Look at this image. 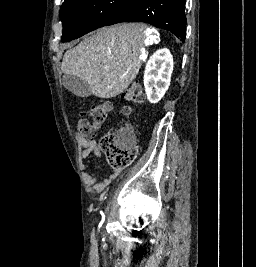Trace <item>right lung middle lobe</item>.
Masks as SVG:
<instances>
[{
  "label": "right lung middle lobe",
  "instance_id": "1",
  "mask_svg": "<svg viewBox=\"0 0 256 267\" xmlns=\"http://www.w3.org/2000/svg\"><path fill=\"white\" fill-rule=\"evenodd\" d=\"M138 0H65L60 9L61 40L69 42L131 11Z\"/></svg>",
  "mask_w": 256,
  "mask_h": 267
}]
</instances>
